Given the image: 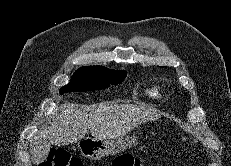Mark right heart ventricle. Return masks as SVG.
I'll use <instances>...</instances> for the list:
<instances>
[{
  "label": "right heart ventricle",
  "instance_id": "right-heart-ventricle-1",
  "mask_svg": "<svg viewBox=\"0 0 231 166\" xmlns=\"http://www.w3.org/2000/svg\"><path fill=\"white\" fill-rule=\"evenodd\" d=\"M147 94L150 96V97H154V98H157V97H160V88L157 87V86H154L152 88H149L147 90Z\"/></svg>",
  "mask_w": 231,
  "mask_h": 166
}]
</instances>
